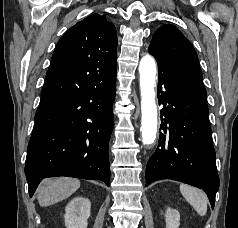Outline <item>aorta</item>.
<instances>
[{"instance_id":"1","label":"aorta","mask_w":238,"mask_h":228,"mask_svg":"<svg viewBox=\"0 0 238 228\" xmlns=\"http://www.w3.org/2000/svg\"><path fill=\"white\" fill-rule=\"evenodd\" d=\"M156 61L150 55L141 58L139 64L141 94V136L145 145L152 144L157 133V106L155 101Z\"/></svg>"}]
</instances>
